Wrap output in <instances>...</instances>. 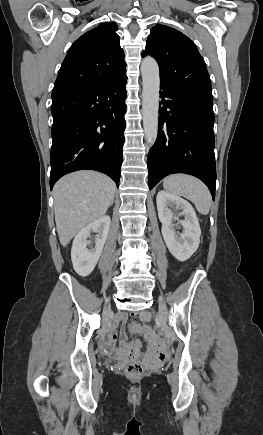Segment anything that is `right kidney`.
<instances>
[{
  "label": "right kidney",
  "mask_w": 263,
  "mask_h": 435,
  "mask_svg": "<svg viewBox=\"0 0 263 435\" xmlns=\"http://www.w3.org/2000/svg\"><path fill=\"white\" fill-rule=\"evenodd\" d=\"M110 222L109 216H102L82 228L75 236L71 249V259L75 271L80 276H88L94 270L107 240ZM92 232L97 233L94 247L91 246L92 242L88 240Z\"/></svg>",
  "instance_id": "obj_1"
}]
</instances>
